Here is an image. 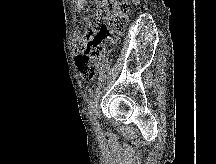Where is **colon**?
I'll return each mask as SVG.
<instances>
[{
	"instance_id": "1",
	"label": "colon",
	"mask_w": 216,
	"mask_h": 164,
	"mask_svg": "<svg viewBox=\"0 0 216 164\" xmlns=\"http://www.w3.org/2000/svg\"><path fill=\"white\" fill-rule=\"evenodd\" d=\"M130 8L129 0H103L95 15L86 19L74 39L76 64L85 80L93 79L97 73L105 52L103 40L125 29Z\"/></svg>"
}]
</instances>
